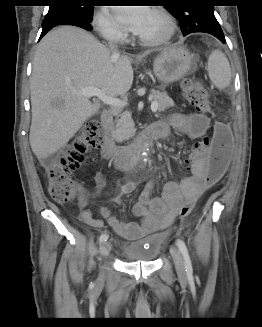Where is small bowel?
I'll return each instance as SVG.
<instances>
[{"label": "small bowel", "mask_w": 262, "mask_h": 327, "mask_svg": "<svg viewBox=\"0 0 262 327\" xmlns=\"http://www.w3.org/2000/svg\"><path fill=\"white\" fill-rule=\"evenodd\" d=\"M213 123L210 118L203 113L194 114H174L169 123H158L159 138H167L170 129L182 133L191 140L201 139L212 130ZM203 153H188V159L183 160V169L187 170L189 176L180 182H167L160 196L153 197L152 192L156 182L150 181L141 193L138 201L133 207V213L137 216L139 222H121L111 215L107 208L101 210L102 216L106 219L108 225L121 237L126 239H135L143 235L161 230L169 226L174 217L179 214V207L183 206L186 200H193L194 203L198 197L205 191L208 185H205V174L208 169ZM194 160H203L195 164ZM98 184L105 182L102 173L96 174ZM134 184L129 182L123 186L124 192H131ZM81 208V220L97 229L104 226L101 219L92 216L89 209L86 208L85 196L82 195L78 201Z\"/></svg>", "instance_id": "c3829d8e"}]
</instances>
